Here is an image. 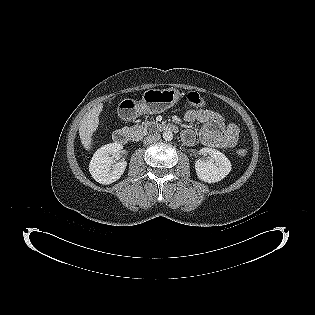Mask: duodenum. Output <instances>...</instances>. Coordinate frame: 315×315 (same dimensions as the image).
Here are the masks:
<instances>
[{"label": "duodenum", "mask_w": 315, "mask_h": 315, "mask_svg": "<svg viewBox=\"0 0 315 315\" xmlns=\"http://www.w3.org/2000/svg\"><path fill=\"white\" fill-rule=\"evenodd\" d=\"M157 128L163 131H170L176 133L178 128L174 124H157ZM133 137L132 132L128 128L117 129L113 133V140L118 144H125Z\"/></svg>", "instance_id": "duodenum-1"}]
</instances>
